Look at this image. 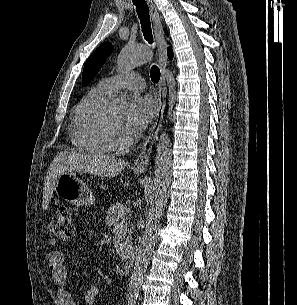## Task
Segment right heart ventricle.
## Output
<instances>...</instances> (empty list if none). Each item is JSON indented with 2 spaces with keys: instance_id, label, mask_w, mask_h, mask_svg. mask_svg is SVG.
<instances>
[{
  "instance_id": "obj_1",
  "label": "right heart ventricle",
  "mask_w": 297,
  "mask_h": 305,
  "mask_svg": "<svg viewBox=\"0 0 297 305\" xmlns=\"http://www.w3.org/2000/svg\"><path fill=\"white\" fill-rule=\"evenodd\" d=\"M107 95L108 92L97 85L76 106L70 129V139L76 149L91 154L108 152L100 137Z\"/></svg>"
}]
</instances>
